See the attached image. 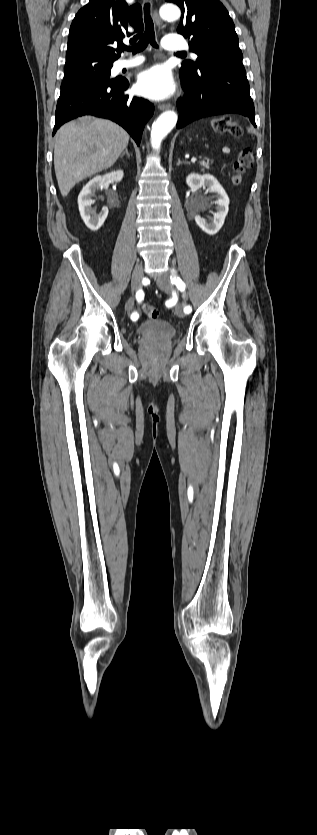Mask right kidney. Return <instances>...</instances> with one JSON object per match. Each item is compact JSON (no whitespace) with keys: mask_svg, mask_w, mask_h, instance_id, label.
<instances>
[{"mask_svg":"<svg viewBox=\"0 0 317 835\" xmlns=\"http://www.w3.org/2000/svg\"><path fill=\"white\" fill-rule=\"evenodd\" d=\"M123 171L117 170L103 176H96L91 179L81 190L78 196V206L81 218L85 225L92 231H97L108 216V208L103 207L100 214H96L91 205L94 203L92 197L96 189L105 186L109 182H120L123 178Z\"/></svg>","mask_w":317,"mask_h":835,"instance_id":"1","label":"right kidney"}]
</instances>
